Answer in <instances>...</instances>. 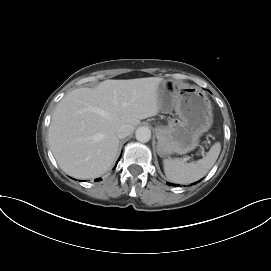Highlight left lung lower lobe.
Here are the masks:
<instances>
[{
    "instance_id": "left-lung-lower-lobe-1",
    "label": "left lung lower lobe",
    "mask_w": 271,
    "mask_h": 271,
    "mask_svg": "<svg viewBox=\"0 0 271 271\" xmlns=\"http://www.w3.org/2000/svg\"><path fill=\"white\" fill-rule=\"evenodd\" d=\"M168 185H171V186H175V184H170V183H167Z\"/></svg>"
}]
</instances>
